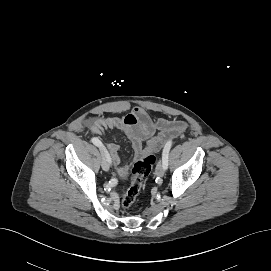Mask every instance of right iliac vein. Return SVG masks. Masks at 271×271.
Returning a JSON list of instances; mask_svg holds the SVG:
<instances>
[{"instance_id": "63e3f726", "label": "right iliac vein", "mask_w": 271, "mask_h": 271, "mask_svg": "<svg viewBox=\"0 0 271 271\" xmlns=\"http://www.w3.org/2000/svg\"><path fill=\"white\" fill-rule=\"evenodd\" d=\"M101 166H102L104 171H109V169H110V161H109V157H108V155L106 153V150H102Z\"/></svg>"}]
</instances>
